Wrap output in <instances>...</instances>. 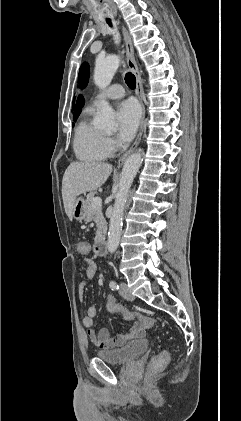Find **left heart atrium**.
Segmentation results:
<instances>
[{"label":"left heart atrium","instance_id":"left-heart-atrium-1","mask_svg":"<svg viewBox=\"0 0 241 421\" xmlns=\"http://www.w3.org/2000/svg\"><path fill=\"white\" fill-rule=\"evenodd\" d=\"M140 109L135 101L125 100L117 109L118 138L121 142L130 141L136 133L140 122Z\"/></svg>","mask_w":241,"mask_h":421}]
</instances>
